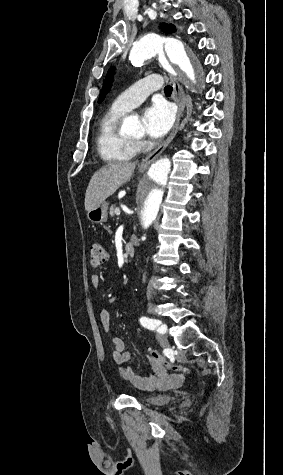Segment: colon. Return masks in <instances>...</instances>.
Wrapping results in <instances>:
<instances>
[{"instance_id":"colon-1","label":"colon","mask_w":283,"mask_h":475,"mask_svg":"<svg viewBox=\"0 0 283 475\" xmlns=\"http://www.w3.org/2000/svg\"><path fill=\"white\" fill-rule=\"evenodd\" d=\"M109 257V253L100 243H93L90 249V263L93 267L102 266ZM146 356L148 362L156 367L159 372L161 371L162 367H167L170 370L179 373L181 376L190 375L192 373V369L185 365L178 364L174 362L170 358H165L161 353L157 352L156 350L147 347L146 348Z\"/></svg>"}]
</instances>
